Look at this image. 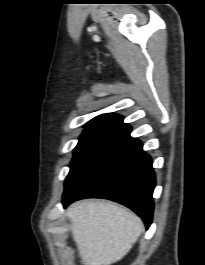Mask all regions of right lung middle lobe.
I'll return each mask as SVG.
<instances>
[{
  "label": "right lung middle lobe",
  "instance_id": "obj_1",
  "mask_svg": "<svg viewBox=\"0 0 205 265\" xmlns=\"http://www.w3.org/2000/svg\"><path fill=\"white\" fill-rule=\"evenodd\" d=\"M126 129L127 127L124 126H103L88 128L83 131L74 149V158L65 181V191L74 186L86 170Z\"/></svg>",
  "mask_w": 205,
  "mask_h": 265
}]
</instances>
